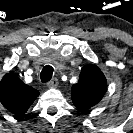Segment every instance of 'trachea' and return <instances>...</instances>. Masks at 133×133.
I'll use <instances>...</instances> for the list:
<instances>
[{"label":"trachea","instance_id":"obj_1","mask_svg":"<svg viewBox=\"0 0 133 133\" xmlns=\"http://www.w3.org/2000/svg\"><path fill=\"white\" fill-rule=\"evenodd\" d=\"M52 74H53V68L51 66L44 67L40 74L42 83L50 81V79L52 78Z\"/></svg>","mask_w":133,"mask_h":133}]
</instances>
